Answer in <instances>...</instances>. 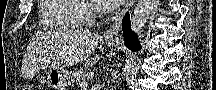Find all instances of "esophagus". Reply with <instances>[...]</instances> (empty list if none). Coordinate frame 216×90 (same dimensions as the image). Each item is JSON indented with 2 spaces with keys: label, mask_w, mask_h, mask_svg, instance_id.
<instances>
[{
  "label": "esophagus",
  "mask_w": 216,
  "mask_h": 90,
  "mask_svg": "<svg viewBox=\"0 0 216 90\" xmlns=\"http://www.w3.org/2000/svg\"><path fill=\"white\" fill-rule=\"evenodd\" d=\"M134 1L135 0H128L123 5V7L119 11V13L114 18L113 23L110 26V28H108L106 30V32L104 33L103 39L105 41H111V42H119L120 41L119 30L121 27L122 17L132 7V5L134 4Z\"/></svg>",
  "instance_id": "esophagus-1"
}]
</instances>
